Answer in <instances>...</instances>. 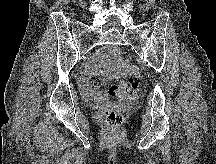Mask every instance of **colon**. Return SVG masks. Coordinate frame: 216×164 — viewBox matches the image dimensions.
<instances>
[{
	"label": "colon",
	"mask_w": 216,
	"mask_h": 164,
	"mask_svg": "<svg viewBox=\"0 0 216 164\" xmlns=\"http://www.w3.org/2000/svg\"><path fill=\"white\" fill-rule=\"evenodd\" d=\"M107 86L110 96L119 98L124 102L136 98L140 93L138 85L133 80H120L108 83ZM124 102L113 104L105 110L104 118L108 126L116 128L122 124L124 117L121 107L124 105Z\"/></svg>",
	"instance_id": "1"
}]
</instances>
